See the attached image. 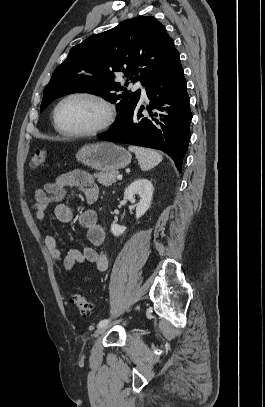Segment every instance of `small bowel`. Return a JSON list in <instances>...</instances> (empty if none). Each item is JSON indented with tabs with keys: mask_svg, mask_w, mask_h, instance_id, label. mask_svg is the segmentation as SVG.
Wrapping results in <instances>:
<instances>
[{
	"mask_svg": "<svg viewBox=\"0 0 265 407\" xmlns=\"http://www.w3.org/2000/svg\"><path fill=\"white\" fill-rule=\"evenodd\" d=\"M68 188L83 192L88 202L95 201L98 196V186L93 177L82 170L65 173L55 181L46 182L41 188H37L32 210L35 220L44 232L46 248L52 259L60 263L66 272H70L77 263H92L98 271H105L108 267V258L99 249L105 241V231L94 210L88 209L80 216V225L86 230L88 243L82 245L80 249L70 250L65 257H62L55 237L48 231L45 211L49 205H55L54 215L59 222L68 223L73 218L72 208L62 202Z\"/></svg>",
	"mask_w": 265,
	"mask_h": 407,
	"instance_id": "1",
	"label": "small bowel"
}]
</instances>
